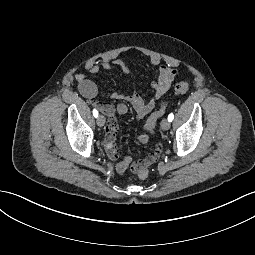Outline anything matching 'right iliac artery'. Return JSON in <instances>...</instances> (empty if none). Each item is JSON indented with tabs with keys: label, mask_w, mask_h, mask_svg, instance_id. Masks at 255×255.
Segmentation results:
<instances>
[{
	"label": "right iliac artery",
	"mask_w": 255,
	"mask_h": 255,
	"mask_svg": "<svg viewBox=\"0 0 255 255\" xmlns=\"http://www.w3.org/2000/svg\"><path fill=\"white\" fill-rule=\"evenodd\" d=\"M94 117H98V111L96 109L93 110Z\"/></svg>",
	"instance_id": "82829eb1"
}]
</instances>
